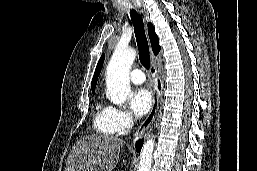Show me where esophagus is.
I'll return each instance as SVG.
<instances>
[{"label": "esophagus", "instance_id": "esophagus-1", "mask_svg": "<svg viewBox=\"0 0 257 171\" xmlns=\"http://www.w3.org/2000/svg\"><path fill=\"white\" fill-rule=\"evenodd\" d=\"M155 57L154 55L151 53V61L152 63L154 62ZM150 73H151V77H152V81H153V101H152V106L150 109L149 114L147 115V117L145 118V120L141 123V125L138 127L135 135H134V141L137 138H140L146 131L147 129L150 127V125L153 123L156 113L158 111V107H159V94H158V90H157V68L154 66V64H152L151 69H150Z\"/></svg>", "mask_w": 257, "mask_h": 171}]
</instances>
